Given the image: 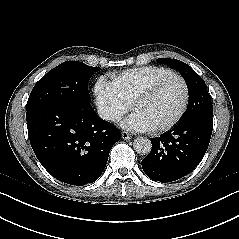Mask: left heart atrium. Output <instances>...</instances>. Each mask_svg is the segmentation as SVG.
Returning a JSON list of instances; mask_svg holds the SVG:
<instances>
[{
  "label": "left heart atrium",
  "instance_id": "1",
  "mask_svg": "<svg viewBox=\"0 0 239 239\" xmlns=\"http://www.w3.org/2000/svg\"><path fill=\"white\" fill-rule=\"evenodd\" d=\"M122 126L134 132L150 131L152 127L137 112H133L123 122Z\"/></svg>",
  "mask_w": 239,
  "mask_h": 239
}]
</instances>
